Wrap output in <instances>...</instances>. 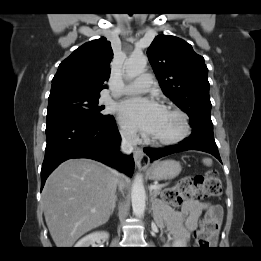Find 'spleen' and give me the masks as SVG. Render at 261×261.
Returning a JSON list of instances; mask_svg holds the SVG:
<instances>
[{
  "mask_svg": "<svg viewBox=\"0 0 261 261\" xmlns=\"http://www.w3.org/2000/svg\"><path fill=\"white\" fill-rule=\"evenodd\" d=\"M203 162H204V164H206V165H208V166H210V165L212 164V160L209 159V158H204V159H203Z\"/></svg>",
  "mask_w": 261,
  "mask_h": 261,
  "instance_id": "spleen-1",
  "label": "spleen"
}]
</instances>
